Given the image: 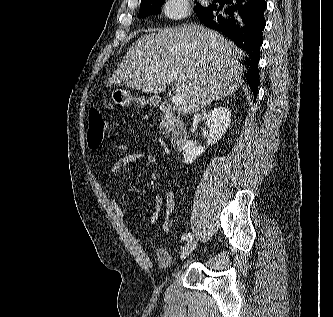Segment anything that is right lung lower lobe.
Instances as JSON below:
<instances>
[{
	"mask_svg": "<svg viewBox=\"0 0 333 317\" xmlns=\"http://www.w3.org/2000/svg\"><path fill=\"white\" fill-rule=\"evenodd\" d=\"M227 3L230 7L224 9V16L219 14L221 8L213 4L198 16L205 26L221 32L249 55L246 59L248 71L243 79L256 99L259 85V49L263 43L262 31L266 25L264 12L267 4L265 0H230Z\"/></svg>",
	"mask_w": 333,
	"mask_h": 317,
	"instance_id": "98d812e1",
	"label": "right lung lower lobe"
}]
</instances>
